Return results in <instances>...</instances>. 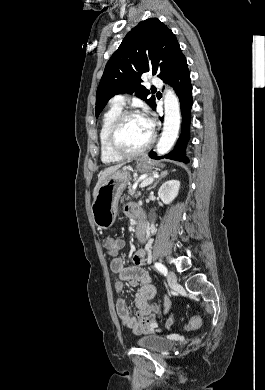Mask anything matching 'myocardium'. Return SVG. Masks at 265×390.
I'll return each instance as SVG.
<instances>
[{
    "mask_svg": "<svg viewBox=\"0 0 265 390\" xmlns=\"http://www.w3.org/2000/svg\"><path fill=\"white\" fill-rule=\"evenodd\" d=\"M133 116H139L135 111L132 110H124L121 111L120 114L117 116L115 121L113 122L109 134H108V143L110 146V149L117 154L118 156L122 158H129V157H135L139 156L143 153H145L150 146L152 145L154 141V135L153 133H150V137L148 141L139 149L137 150H128L124 148L120 142H119V132L120 129L125 122L126 119Z\"/></svg>",
    "mask_w": 265,
    "mask_h": 390,
    "instance_id": "1",
    "label": "myocardium"
}]
</instances>
